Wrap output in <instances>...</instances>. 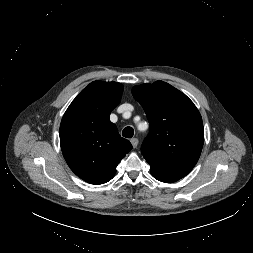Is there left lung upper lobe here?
I'll return each mask as SVG.
<instances>
[{"mask_svg": "<svg viewBox=\"0 0 253 253\" xmlns=\"http://www.w3.org/2000/svg\"><path fill=\"white\" fill-rule=\"evenodd\" d=\"M142 105L150 132L141 153L150 170L181 179L196 165L204 143L201 115L181 91L163 81L133 87Z\"/></svg>", "mask_w": 253, "mask_h": 253, "instance_id": "1", "label": "left lung upper lobe"}]
</instances>
